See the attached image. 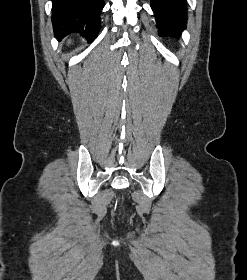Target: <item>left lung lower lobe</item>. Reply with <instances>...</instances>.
<instances>
[{
  "instance_id": "0a47b994",
  "label": "left lung lower lobe",
  "mask_w": 247,
  "mask_h": 280,
  "mask_svg": "<svg viewBox=\"0 0 247 280\" xmlns=\"http://www.w3.org/2000/svg\"><path fill=\"white\" fill-rule=\"evenodd\" d=\"M159 35L179 37L186 29V0H151Z\"/></svg>"
}]
</instances>
